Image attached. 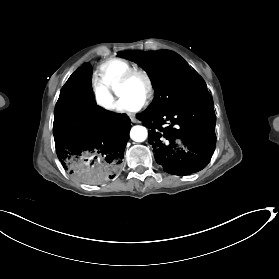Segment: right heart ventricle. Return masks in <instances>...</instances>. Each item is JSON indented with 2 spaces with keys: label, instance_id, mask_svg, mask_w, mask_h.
I'll use <instances>...</instances> for the list:
<instances>
[{
  "label": "right heart ventricle",
  "instance_id": "1",
  "mask_svg": "<svg viewBox=\"0 0 279 279\" xmlns=\"http://www.w3.org/2000/svg\"><path fill=\"white\" fill-rule=\"evenodd\" d=\"M135 68L130 62L122 58H109L101 62L94 71V83H99L111 92L117 91L120 78L128 70Z\"/></svg>",
  "mask_w": 279,
  "mask_h": 279
}]
</instances>
